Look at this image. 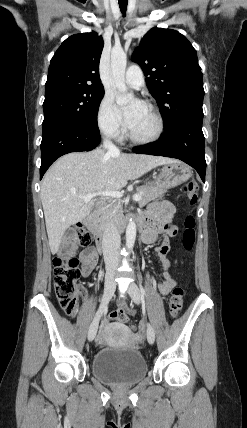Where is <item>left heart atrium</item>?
<instances>
[{
	"mask_svg": "<svg viewBox=\"0 0 247 428\" xmlns=\"http://www.w3.org/2000/svg\"><path fill=\"white\" fill-rule=\"evenodd\" d=\"M144 107L145 104L142 101L135 100L127 109H125V111L123 112V116L125 123L128 127H130L134 123V121L136 120V118L141 113Z\"/></svg>",
	"mask_w": 247,
	"mask_h": 428,
	"instance_id": "obj_1",
	"label": "left heart atrium"
}]
</instances>
